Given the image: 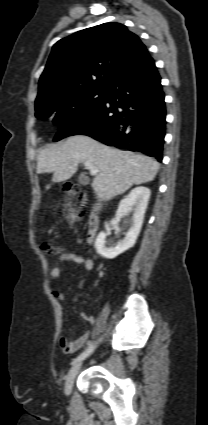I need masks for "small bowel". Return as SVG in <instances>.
<instances>
[{
    "mask_svg": "<svg viewBox=\"0 0 208 425\" xmlns=\"http://www.w3.org/2000/svg\"><path fill=\"white\" fill-rule=\"evenodd\" d=\"M60 259L62 262H65V263L74 262V263L80 264L84 267L85 270H92L94 267V261L91 258H87L73 252L63 253ZM62 269H63L62 266L53 267L50 271L51 278L58 279L61 276ZM52 294L55 297V299H57L58 301H63L65 298L64 294L60 291L54 290ZM81 317L89 323L95 322V318L87 313H82ZM88 337H89L88 333H84L74 340H69L68 338L62 336L59 339V344L64 353L71 354L79 350L86 343V341L88 340Z\"/></svg>",
    "mask_w": 208,
    "mask_h": 425,
    "instance_id": "small-bowel-1",
    "label": "small bowel"
}]
</instances>
